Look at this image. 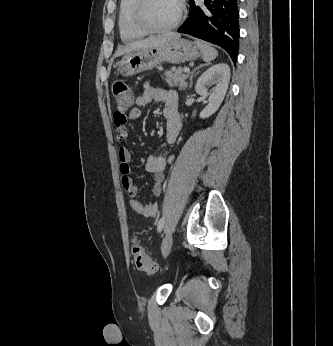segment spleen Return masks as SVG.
Masks as SVG:
<instances>
[{
    "instance_id": "1",
    "label": "spleen",
    "mask_w": 333,
    "mask_h": 346,
    "mask_svg": "<svg viewBox=\"0 0 333 346\" xmlns=\"http://www.w3.org/2000/svg\"><path fill=\"white\" fill-rule=\"evenodd\" d=\"M195 43L200 48V51L202 53V59L205 62H210L217 57L218 55L217 50L213 48L212 46H210L209 44L200 40H195Z\"/></svg>"
}]
</instances>
